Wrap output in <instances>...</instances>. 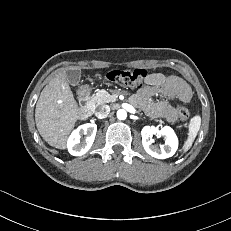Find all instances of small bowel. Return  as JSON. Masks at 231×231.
<instances>
[{"label": "small bowel", "instance_id": "1", "mask_svg": "<svg viewBox=\"0 0 231 231\" xmlns=\"http://www.w3.org/2000/svg\"><path fill=\"white\" fill-rule=\"evenodd\" d=\"M155 95H160L164 99L154 101L153 97ZM191 97L192 90L183 79L177 76L153 73L149 75L146 86L141 88L132 100L134 103L141 105L148 114L172 122L176 120L177 113L168 99L187 103Z\"/></svg>", "mask_w": 231, "mask_h": 231}]
</instances>
